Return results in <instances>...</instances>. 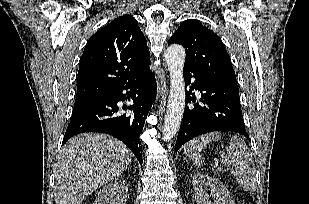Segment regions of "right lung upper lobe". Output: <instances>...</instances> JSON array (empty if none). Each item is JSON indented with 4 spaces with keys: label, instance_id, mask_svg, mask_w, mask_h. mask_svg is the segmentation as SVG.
Returning a JSON list of instances; mask_svg holds the SVG:
<instances>
[{
    "label": "right lung upper lobe",
    "instance_id": "right-lung-upper-lobe-1",
    "mask_svg": "<svg viewBox=\"0 0 309 204\" xmlns=\"http://www.w3.org/2000/svg\"><path fill=\"white\" fill-rule=\"evenodd\" d=\"M150 53L137 21L116 18L87 42L80 60L76 101L137 79L149 70Z\"/></svg>",
    "mask_w": 309,
    "mask_h": 204
}]
</instances>
